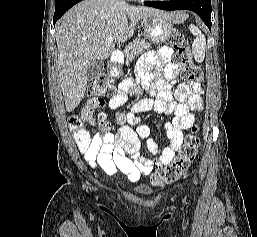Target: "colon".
I'll list each match as a JSON object with an SVG mask.
<instances>
[{
	"mask_svg": "<svg viewBox=\"0 0 257 237\" xmlns=\"http://www.w3.org/2000/svg\"><path fill=\"white\" fill-rule=\"evenodd\" d=\"M171 46L176 51V61L182 67L183 77L191 83L201 82L203 79L202 69L193 64L192 52L185 36L182 33L176 32L172 36ZM90 93L93 98L88 102L87 106L93 110L103 103V97L114 95V86L106 75H100L92 83ZM96 119L99 124L104 127L100 135L103 136L109 134L107 132L109 124L106 122V115L104 113H99L96 116ZM68 124L82 148H87L90 145L92 137L87 130L82 127L81 119L76 115H72L68 118ZM197 131L198 127L193 125L191 132L185 138L178 156H176L168 165L158 169L153 174V185L163 186L171 184L178 180L190 167L200 146V139L196 134Z\"/></svg>",
	"mask_w": 257,
	"mask_h": 237,
	"instance_id": "colon-1",
	"label": "colon"
}]
</instances>
